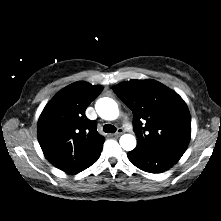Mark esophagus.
Masks as SVG:
<instances>
[{"label": "esophagus", "mask_w": 221, "mask_h": 221, "mask_svg": "<svg viewBox=\"0 0 221 221\" xmlns=\"http://www.w3.org/2000/svg\"><path fill=\"white\" fill-rule=\"evenodd\" d=\"M124 133V129L123 128H119L118 130H117V132L114 134V136H120V135H122Z\"/></svg>", "instance_id": "34e87169"}]
</instances>
